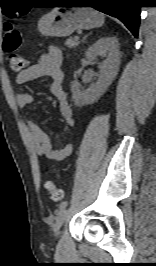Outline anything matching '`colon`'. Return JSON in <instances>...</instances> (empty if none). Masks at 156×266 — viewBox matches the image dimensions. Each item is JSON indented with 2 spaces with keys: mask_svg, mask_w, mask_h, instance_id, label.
I'll list each match as a JSON object with an SVG mask.
<instances>
[{
  "mask_svg": "<svg viewBox=\"0 0 156 266\" xmlns=\"http://www.w3.org/2000/svg\"><path fill=\"white\" fill-rule=\"evenodd\" d=\"M24 15V13H20ZM22 36L20 31L14 26L8 24L5 27V36L3 40V48L8 55V63L12 71L22 72L26 67V59L15 53V51L21 46ZM48 196L54 201H60L63 197L62 191L57 188L56 184L52 180H46L44 183Z\"/></svg>",
  "mask_w": 156,
  "mask_h": 266,
  "instance_id": "obj_1",
  "label": "colon"
}]
</instances>
